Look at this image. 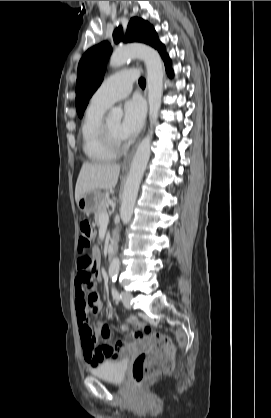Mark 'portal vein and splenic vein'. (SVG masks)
I'll return each instance as SVG.
<instances>
[{
	"instance_id": "obj_1",
	"label": "portal vein and splenic vein",
	"mask_w": 271,
	"mask_h": 418,
	"mask_svg": "<svg viewBox=\"0 0 271 418\" xmlns=\"http://www.w3.org/2000/svg\"><path fill=\"white\" fill-rule=\"evenodd\" d=\"M108 222H109V215L106 212V213H104V214L101 215V217H100V223H106L107 224Z\"/></svg>"
}]
</instances>
